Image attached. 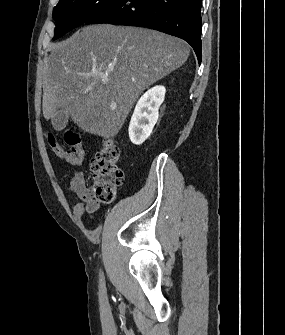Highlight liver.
<instances>
[{"label": "liver", "instance_id": "obj_1", "mask_svg": "<svg viewBox=\"0 0 285 335\" xmlns=\"http://www.w3.org/2000/svg\"><path fill=\"white\" fill-rule=\"evenodd\" d=\"M51 52L43 78L42 112H65L88 134L114 138L137 98L189 58L183 40L167 34L96 24L85 26Z\"/></svg>", "mask_w": 285, "mask_h": 335}]
</instances>
